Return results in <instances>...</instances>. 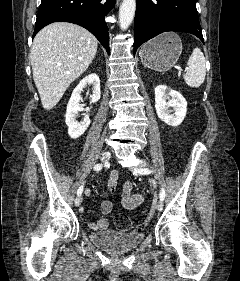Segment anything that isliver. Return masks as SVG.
Returning <instances> with one entry per match:
<instances>
[{"label":"liver","mask_w":240,"mask_h":281,"mask_svg":"<svg viewBox=\"0 0 240 281\" xmlns=\"http://www.w3.org/2000/svg\"><path fill=\"white\" fill-rule=\"evenodd\" d=\"M97 46L89 31L67 22L47 25L35 36L30 57L44 109L55 107L70 84L86 71Z\"/></svg>","instance_id":"obj_1"}]
</instances>
